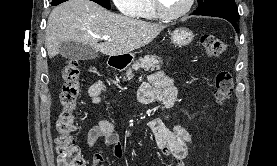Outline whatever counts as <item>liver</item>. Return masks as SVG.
Segmentation results:
<instances>
[{
  "instance_id": "obj_1",
  "label": "liver",
  "mask_w": 277,
  "mask_h": 166,
  "mask_svg": "<svg viewBox=\"0 0 277 166\" xmlns=\"http://www.w3.org/2000/svg\"><path fill=\"white\" fill-rule=\"evenodd\" d=\"M166 27L112 13L91 0H68L52 10L45 45L49 58L60 53L65 41L90 45L105 55H122L148 45ZM102 36L110 41L99 43Z\"/></svg>"
}]
</instances>
